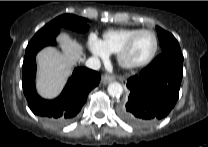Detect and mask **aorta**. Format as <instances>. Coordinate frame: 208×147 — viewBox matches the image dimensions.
<instances>
[{
    "mask_svg": "<svg viewBox=\"0 0 208 147\" xmlns=\"http://www.w3.org/2000/svg\"><path fill=\"white\" fill-rule=\"evenodd\" d=\"M108 94L112 97H119L123 93V87L118 82H112L108 85Z\"/></svg>",
    "mask_w": 208,
    "mask_h": 147,
    "instance_id": "aorta-1",
    "label": "aorta"
}]
</instances>
